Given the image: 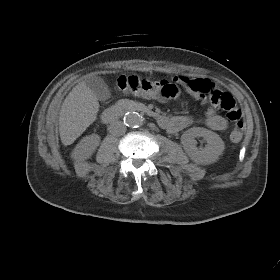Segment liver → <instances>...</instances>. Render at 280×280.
<instances>
[{
  "instance_id": "6515ba94",
  "label": "liver",
  "mask_w": 280,
  "mask_h": 280,
  "mask_svg": "<svg viewBox=\"0 0 280 280\" xmlns=\"http://www.w3.org/2000/svg\"><path fill=\"white\" fill-rule=\"evenodd\" d=\"M99 111V102L85 81L67 95L59 113L60 138L64 145L72 144L92 124Z\"/></svg>"
}]
</instances>
